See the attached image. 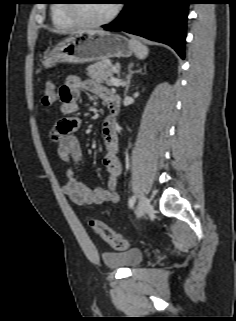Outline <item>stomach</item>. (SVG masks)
Wrapping results in <instances>:
<instances>
[{
  "label": "stomach",
  "mask_w": 236,
  "mask_h": 321,
  "mask_svg": "<svg viewBox=\"0 0 236 321\" xmlns=\"http://www.w3.org/2000/svg\"><path fill=\"white\" fill-rule=\"evenodd\" d=\"M133 46L125 37L104 33L77 32L58 43L41 62L45 68L57 63H89L112 57H129Z\"/></svg>",
  "instance_id": "stomach-1"
}]
</instances>
